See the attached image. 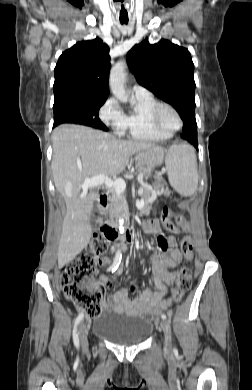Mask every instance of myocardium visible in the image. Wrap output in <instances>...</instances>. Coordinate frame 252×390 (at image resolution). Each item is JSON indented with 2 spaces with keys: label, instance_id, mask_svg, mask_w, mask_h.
<instances>
[{
  "label": "myocardium",
  "instance_id": "myocardium-1",
  "mask_svg": "<svg viewBox=\"0 0 252 390\" xmlns=\"http://www.w3.org/2000/svg\"><path fill=\"white\" fill-rule=\"evenodd\" d=\"M165 109H168L175 114V116L178 120V126L176 128L169 130V129H166L162 125L160 117H161L163 110H165ZM150 122L156 130H158L162 133L170 134V135H173L174 133H176L183 126V119H182L180 113L178 112V110L174 106L167 104V103H158L152 109V111L150 113Z\"/></svg>",
  "mask_w": 252,
  "mask_h": 390
}]
</instances>
